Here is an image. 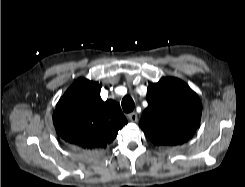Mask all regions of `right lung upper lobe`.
Masks as SVG:
<instances>
[{
  "instance_id": "cb5924a9",
  "label": "right lung upper lobe",
  "mask_w": 245,
  "mask_h": 187,
  "mask_svg": "<svg viewBox=\"0 0 245 187\" xmlns=\"http://www.w3.org/2000/svg\"><path fill=\"white\" fill-rule=\"evenodd\" d=\"M100 88L97 82L80 78L56 105L53 113L56 132L73 148L104 149L127 124L118 103L101 99Z\"/></svg>"
}]
</instances>
